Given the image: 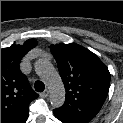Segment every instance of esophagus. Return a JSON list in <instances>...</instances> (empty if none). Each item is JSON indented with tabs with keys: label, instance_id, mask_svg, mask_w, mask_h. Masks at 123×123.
Wrapping results in <instances>:
<instances>
[{
	"label": "esophagus",
	"instance_id": "esophagus-1",
	"mask_svg": "<svg viewBox=\"0 0 123 123\" xmlns=\"http://www.w3.org/2000/svg\"><path fill=\"white\" fill-rule=\"evenodd\" d=\"M40 96L42 98H47L49 96V91L46 89L42 93H40Z\"/></svg>",
	"mask_w": 123,
	"mask_h": 123
}]
</instances>
